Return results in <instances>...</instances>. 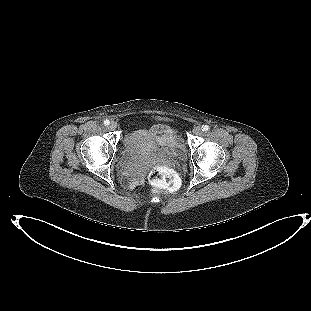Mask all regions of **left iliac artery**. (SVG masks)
<instances>
[{"label":"left iliac artery","instance_id":"1","mask_svg":"<svg viewBox=\"0 0 311 311\" xmlns=\"http://www.w3.org/2000/svg\"><path fill=\"white\" fill-rule=\"evenodd\" d=\"M210 129V127L208 125H203L202 126V131H208Z\"/></svg>","mask_w":311,"mask_h":311}]
</instances>
